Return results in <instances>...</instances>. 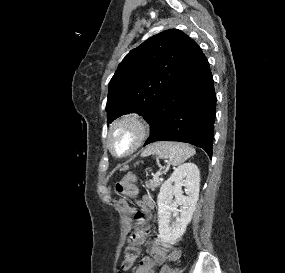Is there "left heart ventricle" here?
Instances as JSON below:
<instances>
[{
  "instance_id": "left-heart-ventricle-1",
  "label": "left heart ventricle",
  "mask_w": 285,
  "mask_h": 273,
  "mask_svg": "<svg viewBox=\"0 0 285 273\" xmlns=\"http://www.w3.org/2000/svg\"><path fill=\"white\" fill-rule=\"evenodd\" d=\"M135 130L131 125L121 126L113 136V146L116 152H125L133 143Z\"/></svg>"
}]
</instances>
